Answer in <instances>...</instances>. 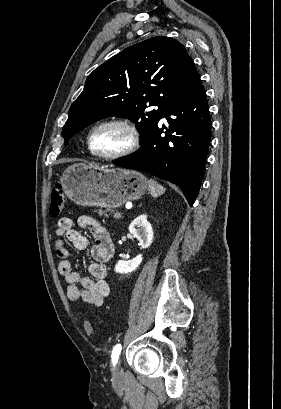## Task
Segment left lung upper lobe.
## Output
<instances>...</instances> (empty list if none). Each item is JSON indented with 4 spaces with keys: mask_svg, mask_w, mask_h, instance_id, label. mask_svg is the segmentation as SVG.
<instances>
[{
    "mask_svg": "<svg viewBox=\"0 0 281 409\" xmlns=\"http://www.w3.org/2000/svg\"><path fill=\"white\" fill-rule=\"evenodd\" d=\"M197 74L184 46L157 36L130 46L96 68L69 109L65 144L78 130L108 116L129 118L144 140L170 103ZM158 109L146 111L150 106Z\"/></svg>",
    "mask_w": 281,
    "mask_h": 409,
    "instance_id": "5c2ea615",
    "label": "left lung upper lobe"
}]
</instances>
